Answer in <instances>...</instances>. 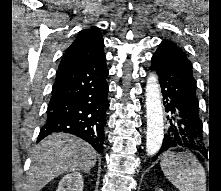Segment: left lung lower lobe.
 Segmentation results:
<instances>
[{
    "mask_svg": "<svg viewBox=\"0 0 221 191\" xmlns=\"http://www.w3.org/2000/svg\"><path fill=\"white\" fill-rule=\"evenodd\" d=\"M151 69L159 76L167 116V129L157 155L187 148L205 155L202 121L192 64L176 44L162 41L152 56ZM158 156L153 158L155 161Z\"/></svg>",
    "mask_w": 221,
    "mask_h": 191,
    "instance_id": "0a47b994",
    "label": "left lung lower lobe"
}]
</instances>
